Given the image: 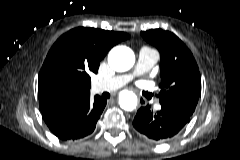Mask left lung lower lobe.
Instances as JSON below:
<instances>
[{
	"label": "left lung lower lobe",
	"mask_w": 240,
	"mask_h": 160,
	"mask_svg": "<svg viewBox=\"0 0 240 160\" xmlns=\"http://www.w3.org/2000/svg\"><path fill=\"white\" fill-rule=\"evenodd\" d=\"M190 117L165 105L153 112L147 105L137 111L133 126L145 140L162 143L174 137L190 121Z\"/></svg>",
	"instance_id": "0a47b994"
}]
</instances>
